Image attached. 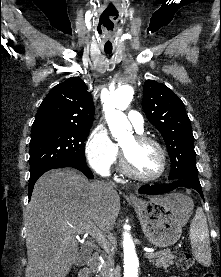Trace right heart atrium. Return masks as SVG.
Segmentation results:
<instances>
[{
    "label": "right heart atrium",
    "instance_id": "obj_1",
    "mask_svg": "<svg viewBox=\"0 0 221 277\" xmlns=\"http://www.w3.org/2000/svg\"><path fill=\"white\" fill-rule=\"evenodd\" d=\"M85 154L90 167L101 175L108 174L118 155L117 145L103 126H97L90 133Z\"/></svg>",
    "mask_w": 221,
    "mask_h": 277
}]
</instances>
